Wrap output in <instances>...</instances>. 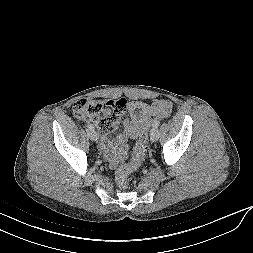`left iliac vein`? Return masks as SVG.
Segmentation results:
<instances>
[{"label": "left iliac vein", "mask_w": 253, "mask_h": 253, "mask_svg": "<svg viewBox=\"0 0 253 253\" xmlns=\"http://www.w3.org/2000/svg\"><path fill=\"white\" fill-rule=\"evenodd\" d=\"M159 138V131H158V128H153L150 132V140L152 142H155L157 141Z\"/></svg>", "instance_id": "4c4485c4"}]
</instances>
